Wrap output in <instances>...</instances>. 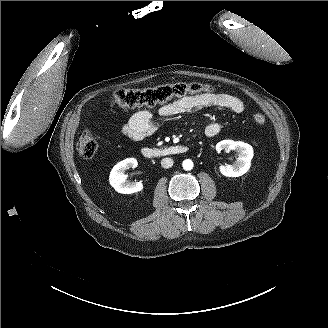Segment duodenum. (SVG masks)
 Masks as SVG:
<instances>
[{
    "label": "duodenum",
    "mask_w": 328,
    "mask_h": 328,
    "mask_svg": "<svg viewBox=\"0 0 328 328\" xmlns=\"http://www.w3.org/2000/svg\"><path fill=\"white\" fill-rule=\"evenodd\" d=\"M188 148L183 145H170L161 148L143 147L141 154L147 159H155L161 157H168L180 155L187 152Z\"/></svg>",
    "instance_id": "410a0bca"
}]
</instances>
